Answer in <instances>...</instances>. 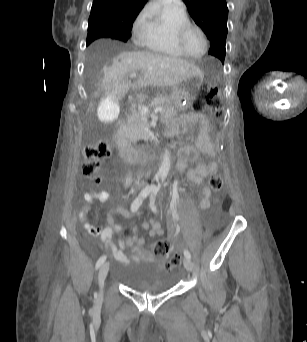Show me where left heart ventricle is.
<instances>
[{
    "mask_svg": "<svg viewBox=\"0 0 307 342\" xmlns=\"http://www.w3.org/2000/svg\"><path fill=\"white\" fill-rule=\"evenodd\" d=\"M185 45L187 51L194 57H199L205 49L203 35L199 28L193 27L186 35Z\"/></svg>",
    "mask_w": 307,
    "mask_h": 342,
    "instance_id": "b2bd125f",
    "label": "left heart ventricle"
}]
</instances>
